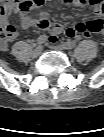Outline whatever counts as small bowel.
Instances as JSON below:
<instances>
[{"label":"small bowel","instance_id":"1","mask_svg":"<svg viewBox=\"0 0 104 137\" xmlns=\"http://www.w3.org/2000/svg\"><path fill=\"white\" fill-rule=\"evenodd\" d=\"M45 1L46 0H7L0 11L1 27L5 28L9 26L8 17H9V13L13 10L20 11V24L23 29H28L32 26H38L40 28H47L51 26V22L48 19H46L44 16H41L40 18H34L30 13L33 8L40 7L41 5H43ZM57 2L63 5L72 4L81 8L89 7L98 16L95 19H100L104 11L103 0H57ZM22 5H26L27 9L22 10L21 9ZM86 23L87 22H80L69 28L74 29L76 31V34H78L79 36L92 37L93 35H97L100 33V32H92L87 30ZM53 28L58 32L64 30V28L61 26H53ZM17 35L18 33L14 29L12 33H10L8 36L4 38V40L1 41L0 43L1 49L7 50L9 43L12 42L17 37Z\"/></svg>","mask_w":104,"mask_h":137}]
</instances>
